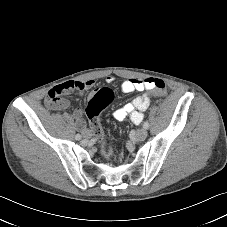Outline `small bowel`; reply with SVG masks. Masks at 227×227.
I'll use <instances>...</instances> for the list:
<instances>
[{"label": "small bowel", "mask_w": 227, "mask_h": 227, "mask_svg": "<svg viewBox=\"0 0 227 227\" xmlns=\"http://www.w3.org/2000/svg\"><path fill=\"white\" fill-rule=\"evenodd\" d=\"M114 81L113 76H108L106 78L107 83H112ZM152 78L147 79H127L122 85L121 89L124 93H132V92H142L144 90L152 89ZM75 84H79L80 87H75ZM95 81L90 79L86 81H67L63 84H60L53 88L47 96L46 102L53 108L56 109H66L69 107L68 100L61 98L62 94H66L73 89H77L80 92L91 89L94 87ZM56 92L58 94L57 98L53 100L50 97V93ZM150 105V97L148 94H143L135 97L131 102L125 104L121 108L115 110L112 113V117L117 121H122L126 118H129L131 122L134 124H140L144 119V111ZM73 117L77 122V126L80 128L81 132L84 134L86 131H89L86 127L85 122L82 119V111L77 108L73 112Z\"/></svg>", "instance_id": "small-bowel-1"}]
</instances>
